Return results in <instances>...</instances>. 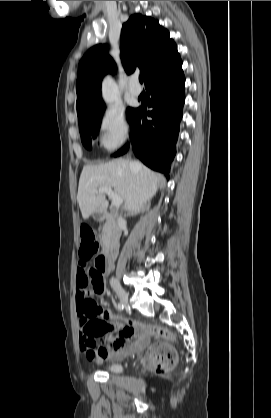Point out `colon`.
I'll list each match as a JSON object with an SVG mask.
<instances>
[{"instance_id":"obj_1","label":"colon","mask_w":271,"mask_h":418,"mask_svg":"<svg viewBox=\"0 0 271 418\" xmlns=\"http://www.w3.org/2000/svg\"><path fill=\"white\" fill-rule=\"evenodd\" d=\"M81 244L79 256L82 261L90 260L97 251V240L93 229L90 226H83L80 231ZM97 267V265H95ZM94 267V268H95ZM159 339V343L150 349L145 363L148 368L158 374H164L171 371L177 362V354L174 348L169 344L170 333L162 328L153 329Z\"/></svg>"}]
</instances>
